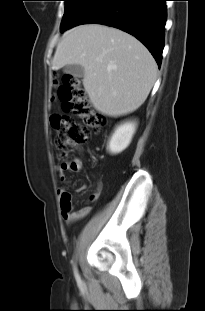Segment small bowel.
<instances>
[{
    "label": "small bowel",
    "mask_w": 205,
    "mask_h": 311,
    "mask_svg": "<svg viewBox=\"0 0 205 311\" xmlns=\"http://www.w3.org/2000/svg\"><path fill=\"white\" fill-rule=\"evenodd\" d=\"M83 162L81 158L75 157L70 161L62 163L58 167V172L60 174V180L63 184L68 183V178L66 177L67 172H79L82 169ZM86 186H81L80 191H84ZM101 192L100 184L89 196L90 201H95L99 198ZM60 198V206L63 218L69 222H76L86 217L91 212L90 205H84L80 207H75L72 202V196L68 193L64 186L60 187L57 191Z\"/></svg>",
    "instance_id": "c3829d8e"
}]
</instances>
